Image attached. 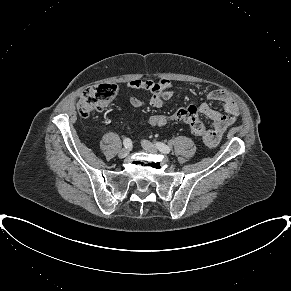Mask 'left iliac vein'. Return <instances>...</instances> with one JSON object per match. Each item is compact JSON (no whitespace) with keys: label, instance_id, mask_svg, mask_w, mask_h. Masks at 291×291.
I'll return each mask as SVG.
<instances>
[{"label":"left iliac vein","instance_id":"left-iliac-vein-1","mask_svg":"<svg viewBox=\"0 0 291 291\" xmlns=\"http://www.w3.org/2000/svg\"><path fill=\"white\" fill-rule=\"evenodd\" d=\"M142 147L146 152H149V153L155 154L158 152V148L147 140L142 141Z\"/></svg>","mask_w":291,"mask_h":291}]
</instances>
